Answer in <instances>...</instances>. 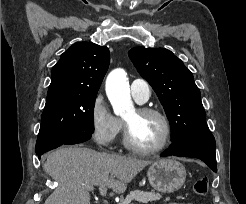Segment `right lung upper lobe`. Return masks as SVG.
<instances>
[{"label":"right lung upper lobe","instance_id":"right-lung-upper-lobe-1","mask_svg":"<svg viewBox=\"0 0 246 204\" xmlns=\"http://www.w3.org/2000/svg\"><path fill=\"white\" fill-rule=\"evenodd\" d=\"M109 61L105 46L91 42L73 44L52 67L47 101L69 95H97Z\"/></svg>","mask_w":246,"mask_h":204}]
</instances>
